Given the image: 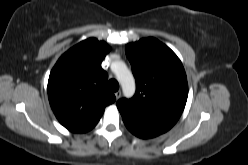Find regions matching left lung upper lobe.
I'll return each instance as SVG.
<instances>
[{
	"instance_id": "5c2ea615",
	"label": "left lung upper lobe",
	"mask_w": 248,
	"mask_h": 165,
	"mask_svg": "<svg viewBox=\"0 0 248 165\" xmlns=\"http://www.w3.org/2000/svg\"><path fill=\"white\" fill-rule=\"evenodd\" d=\"M125 51L136 93L131 99H120L117 107L123 119L162 134L178 121L187 101L183 65L169 47L152 37L127 44Z\"/></svg>"
}]
</instances>
